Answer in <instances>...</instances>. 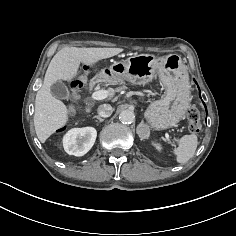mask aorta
<instances>
[{
  "label": "aorta",
  "instance_id": "aorta-1",
  "mask_svg": "<svg viewBox=\"0 0 236 236\" xmlns=\"http://www.w3.org/2000/svg\"><path fill=\"white\" fill-rule=\"evenodd\" d=\"M135 119V114L132 110L126 109L119 114V120L124 124H131Z\"/></svg>",
  "mask_w": 236,
  "mask_h": 236
}]
</instances>
